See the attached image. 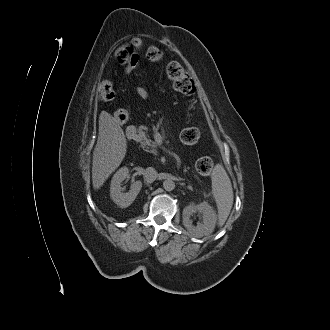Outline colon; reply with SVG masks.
Listing matches in <instances>:
<instances>
[{
    "label": "colon",
    "instance_id": "5ec220e1",
    "mask_svg": "<svg viewBox=\"0 0 330 330\" xmlns=\"http://www.w3.org/2000/svg\"><path fill=\"white\" fill-rule=\"evenodd\" d=\"M132 49L129 46L120 48L117 52V59L120 63H126L134 57ZM146 59L151 64H158L163 58V52L156 46H150L146 51ZM167 77L171 81L175 91L190 95L194 93L195 84L189 72L178 62H170L166 68ZM99 96L101 100L108 101L114 97V90L109 82H103L99 87ZM117 121H126L128 113L126 110H117L114 113ZM181 141L186 145L196 144L200 138V133L196 128H186L181 133ZM213 160L208 157H200L195 163L196 170L202 175H208L213 169Z\"/></svg>",
    "mask_w": 330,
    "mask_h": 330
}]
</instances>
